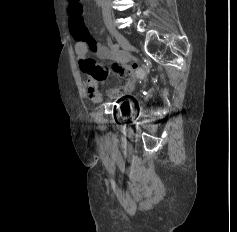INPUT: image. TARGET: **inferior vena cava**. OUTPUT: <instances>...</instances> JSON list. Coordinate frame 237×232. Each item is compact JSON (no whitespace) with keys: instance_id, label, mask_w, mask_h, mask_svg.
I'll return each mask as SVG.
<instances>
[{"instance_id":"602c4592","label":"inferior vena cava","mask_w":237,"mask_h":232,"mask_svg":"<svg viewBox=\"0 0 237 232\" xmlns=\"http://www.w3.org/2000/svg\"><path fill=\"white\" fill-rule=\"evenodd\" d=\"M102 8V15L105 22L111 21V0H98Z\"/></svg>"}]
</instances>
